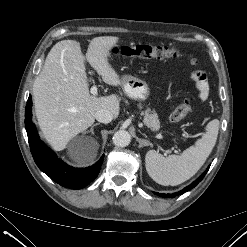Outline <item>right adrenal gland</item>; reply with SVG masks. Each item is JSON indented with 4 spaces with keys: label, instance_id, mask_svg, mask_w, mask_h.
<instances>
[{
    "label": "right adrenal gland",
    "instance_id": "1",
    "mask_svg": "<svg viewBox=\"0 0 247 247\" xmlns=\"http://www.w3.org/2000/svg\"><path fill=\"white\" fill-rule=\"evenodd\" d=\"M97 125H99V123H95L93 126H91L90 130H88L87 132H90L93 135L94 134V127H96Z\"/></svg>",
    "mask_w": 247,
    "mask_h": 247
}]
</instances>
